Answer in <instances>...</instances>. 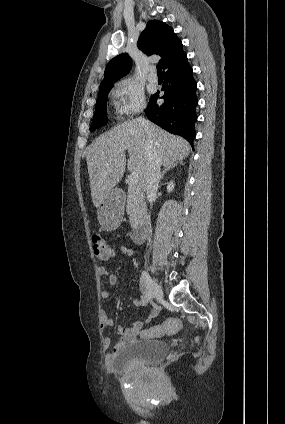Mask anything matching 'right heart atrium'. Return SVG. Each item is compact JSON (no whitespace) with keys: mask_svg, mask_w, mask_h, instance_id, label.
I'll use <instances>...</instances> for the list:
<instances>
[{"mask_svg":"<svg viewBox=\"0 0 285 424\" xmlns=\"http://www.w3.org/2000/svg\"><path fill=\"white\" fill-rule=\"evenodd\" d=\"M114 106L122 118H128L142 111L146 105L143 88L135 80L120 79L113 89Z\"/></svg>","mask_w":285,"mask_h":424,"instance_id":"obj_1","label":"right heart atrium"}]
</instances>
